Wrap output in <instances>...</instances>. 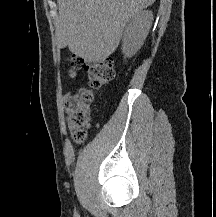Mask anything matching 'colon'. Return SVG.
<instances>
[{"label": "colon", "instance_id": "5ec220e1", "mask_svg": "<svg viewBox=\"0 0 216 217\" xmlns=\"http://www.w3.org/2000/svg\"><path fill=\"white\" fill-rule=\"evenodd\" d=\"M82 63L78 58L71 62L70 76L74 77ZM89 87H82L74 94L68 113V128L76 144H81L91 124V104L94 101V90L103 87L115 75L111 59H102L89 65Z\"/></svg>", "mask_w": 216, "mask_h": 217}]
</instances>
